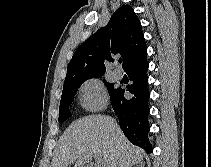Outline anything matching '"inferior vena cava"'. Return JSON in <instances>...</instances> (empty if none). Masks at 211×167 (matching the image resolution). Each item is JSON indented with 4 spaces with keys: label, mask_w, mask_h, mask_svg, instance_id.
Listing matches in <instances>:
<instances>
[{
    "label": "inferior vena cava",
    "mask_w": 211,
    "mask_h": 167,
    "mask_svg": "<svg viewBox=\"0 0 211 167\" xmlns=\"http://www.w3.org/2000/svg\"><path fill=\"white\" fill-rule=\"evenodd\" d=\"M113 166H114V167H118L119 165H118V163H115Z\"/></svg>",
    "instance_id": "inferior-vena-cava-1"
}]
</instances>
